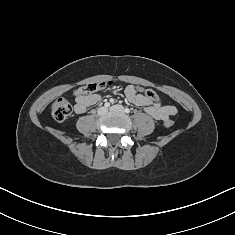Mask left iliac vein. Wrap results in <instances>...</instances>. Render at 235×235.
<instances>
[{
    "instance_id": "left-iliac-vein-1",
    "label": "left iliac vein",
    "mask_w": 235,
    "mask_h": 235,
    "mask_svg": "<svg viewBox=\"0 0 235 235\" xmlns=\"http://www.w3.org/2000/svg\"><path fill=\"white\" fill-rule=\"evenodd\" d=\"M110 111L112 112H124V107L122 105H114L110 107Z\"/></svg>"
}]
</instances>
